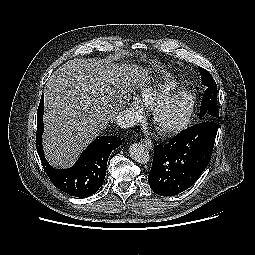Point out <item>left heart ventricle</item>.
Listing matches in <instances>:
<instances>
[{
  "label": "left heart ventricle",
  "instance_id": "1",
  "mask_svg": "<svg viewBox=\"0 0 255 255\" xmlns=\"http://www.w3.org/2000/svg\"><path fill=\"white\" fill-rule=\"evenodd\" d=\"M185 111L184 105H176L164 118L165 122H173L178 120Z\"/></svg>",
  "mask_w": 255,
  "mask_h": 255
}]
</instances>
